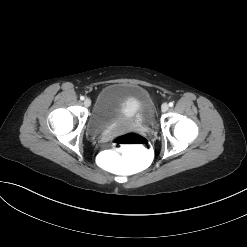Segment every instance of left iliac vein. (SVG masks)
<instances>
[{
	"instance_id": "obj_1",
	"label": "left iliac vein",
	"mask_w": 247,
	"mask_h": 247,
	"mask_svg": "<svg viewBox=\"0 0 247 247\" xmlns=\"http://www.w3.org/2000/svg\"><path fill=\"white\" fill-rule=\"evenodd\" d=\"M161 109L163 112H166L169 109V105L167 103H163Z\"/></svg>"
}]
</instances>
